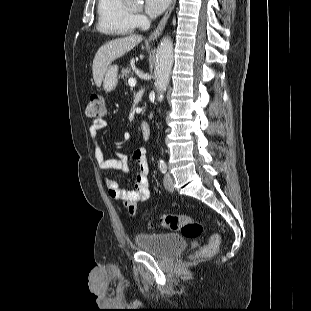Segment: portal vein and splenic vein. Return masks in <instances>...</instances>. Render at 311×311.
<instances>
[{"instance_id":"obj_1","label":"portal vein and splenic vein","mask_w":311,"mask_h":311,"mask_svg":"<svg viewBox=\"0 0 311 311\" xmlns=\"http://www.w3.org/2000/svg\"><path fill=\"white\" fill-rule=\"evenodd\" d=\"M128 84H129V86L134 87V86L136 85V80H135V78H130V79L128 80Z\"/></svg>"}]
</instances>
